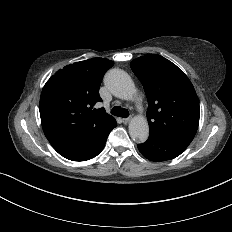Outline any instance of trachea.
<instances>
[{
  "instance_id": "3493384b",
  "label": "trachea",
  "mask_w": 232,
  "mask_h": 232,
  "mask_svg": "<svg viewBox=\"0 0 232 232\" xmlns=\"http://www.w3.org/2000/svg\"><path fill=\"white\" fill-rule=\"evenodd\" d=\"M111 113L117 117L127 118L129 116L128 110L120 106L113 107Z\"/></svg>"
}]
</instances>
